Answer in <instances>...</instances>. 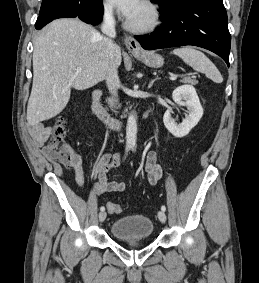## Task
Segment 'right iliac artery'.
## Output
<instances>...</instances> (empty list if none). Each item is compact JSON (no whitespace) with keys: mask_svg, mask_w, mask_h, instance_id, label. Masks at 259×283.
Instances as JSON below:
<instances>
[{"mask_svg":"<svg viewBox=\"0 0 259 283\" xmlns=\"http://www.w3.org/2000/svg\"><path fill=\"white\" fill-rule=\"evenodd\" d=\"M126 152H128V148H126ZM100 210H101V211H104V210H105V207H104V206H101V207H100Z\"/></svg>","mask_w":259,"mask_h":283,"instance_id":"82829eb1","label":"right iliac artery"}]
</instances>
